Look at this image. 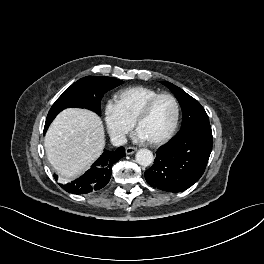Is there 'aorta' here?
I'll return each instance as SVG.
<instances>
[{"label":"aorta","instance_id":"1","mask_svg":"<svg viewBox=\"0 0 264 264\" xmlns=\"http://www.w3.org/2000/svg\"><path fill=\"white\" fill-rule=\"evenodd\" d=\"M136 162L141 166H149L153 162V153L148 149H140L136 153Z\"/></svg>","mask_w":264,"mask_h":264}]
</instances>
